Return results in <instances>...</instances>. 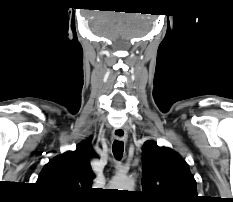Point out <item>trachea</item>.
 <instances>
[{"instance_id":"1","label":"trachea","mask_w":233,"mask_h":202,"mask_svg":"<svg viewBox=\"0 0 233 202\" xmlns=\"http://www.w3.org/2000/svg\"><path fill=\"white\" fill-rule=\"evenodd\" d=\"M124 144L122 141L115 140L113 142L112 151L116 159L120 160L123 155Z\"/></svg>"}]
</instances>
